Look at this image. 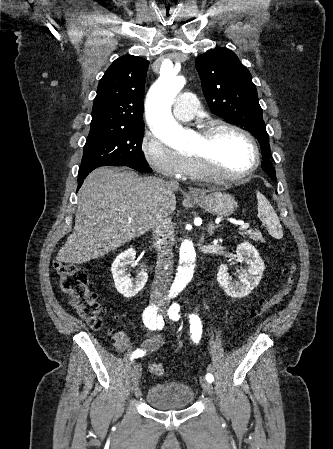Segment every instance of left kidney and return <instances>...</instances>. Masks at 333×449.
<instances>
[{
    "mask_svg": "<svg viewBox=\"0 0 333 449\" xmlns=\"http://www.w3.org/2000/svg\"><path fill=\"white\" fill-rule=\"evenodd\" d=\"M236 261H244L247 264V270H242L239 274L240 281L232 280L227 265L218 268L217 281L228 296L242 298L259 284L265 267L258 251L249 242L237 246Z\"/></svg>",
    "mask_w": 333,
    "mask_h": 449,
    "instance_id": "1",
    "label": "left kidney"
}]
</instances>
